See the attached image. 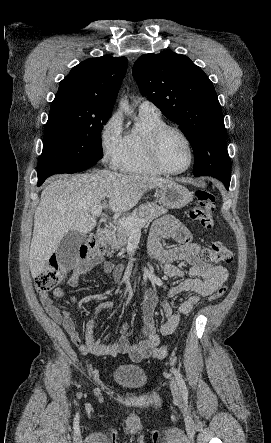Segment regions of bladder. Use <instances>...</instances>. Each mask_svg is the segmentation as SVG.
<instances>
[{"label":"bladder","mask_w":271,"mask_h":443,"mask_svg":"<svg viewBox=\"0 0 271 443\" xmlns=\"http://www.w3.org/2000/svg\"><path fill=\"white\" fill-rule=\"evenodd\" d=\"M113 380L129 389H142L148 382L146 371L139 365L123 364L116 366L112 371Z\"/></svg>","instance_id":"obj_1"}]
</instances>
